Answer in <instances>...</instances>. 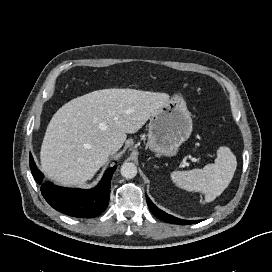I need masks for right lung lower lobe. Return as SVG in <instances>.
Wrapping results in <instances>:
<instances>
[{
  "label": "right lung lower lobe",
  "mask_w": 272,
  "mask_h": 272,
  "mask_svg": "<svg viewBox=\"0 0 272 272\" xmlns=\"http://www.w3.org/2000/svg\"><path fill=\"white\" fill-rule=\"evenodd\" d=\"M29 162L35 181L41 185L43 197L54 209L73 217L93 218L107 208L110 182L117 166L107 169L95 188L83 190L62 188L50 182H43V174L37 169L31 154Z\"/></svg>",
  "instance_id": "obj_1"
}]
</instances>
